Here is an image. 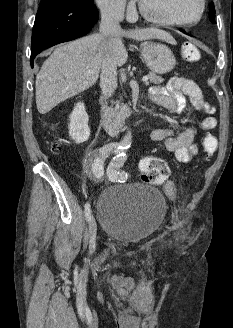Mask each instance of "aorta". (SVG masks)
<instances>
[{
	"label": "aorta",
	"mask_w": 233,
	"mask_h": 328,
	"mask_svg": "<svg viewBox=\"0 0 233 328\" xmlns=\"http://www.w3.org/2000/svg\"><path fill=\"white\" fill-rule=\"evenodd\" d=\"M131 141H132V133L131 131L128 130L125 136L123 137L121 144L123 146H129L131 144Z\"/></svg>",
	"instance_id": "762f6f07"
}]
</instances>
